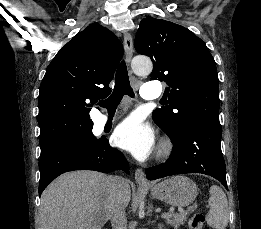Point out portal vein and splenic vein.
<instances>
[{"instance_id":"portal-vein-and-splenic-vein-1","label":"portal vein and splenic vein","mask_w":261,"mask_h":229,"mask_svg":"<svg viewBox=\"0 0 261 229\" xmlns=\"http://www.w3.org/2000/svg\"><path fill=\"white\" fill-rule=\"evenodd\" d=\"M166 217H172V215H169V213H163L162 219H166Z\"/></svg>"}]
</instances>
